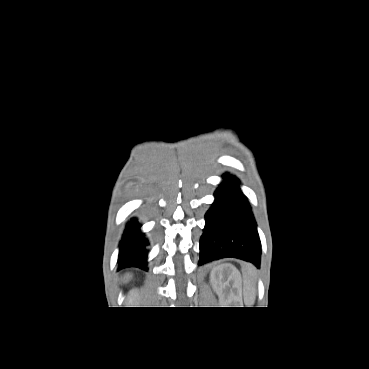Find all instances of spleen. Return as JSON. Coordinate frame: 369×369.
<instances>
[{
    "label": "spleen",
    "instance_id": "3e777b00",
    "mask_svg": "<svg viewBox=\"0 0 369 369\" xmlns=\"http://www.w3.org/2000/svg\"><path fill=\"white\" fill-rule=\"evenodd\" d=\"M245 298L255 300L256 296V272L252 265L246 264L242 268Z\"/></svg>",
    "mask_w": 369,
    "mask_h": 369
}]
</instances>
